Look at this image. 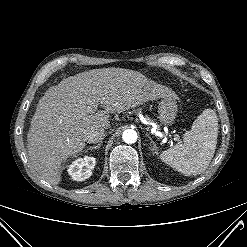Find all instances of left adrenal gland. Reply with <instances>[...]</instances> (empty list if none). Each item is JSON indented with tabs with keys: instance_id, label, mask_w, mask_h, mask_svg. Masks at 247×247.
I'll return each instance as SVG.
<instances>
[{
	"instance_id": "left-adrenal-gland-1",
	"label": "left adrenal gland",
	"mask_w": 247,
	"mask_h": 247,
	"mask_svg": "<svg viewBox=\"0 0 247 247\" xmlns=\"http://www.w3.org/2000/svg\"><path fill=\"white\" fill-rule=\"evenodd\" d=\"M146 135L148 136L149 140L151 141V144L153 145L152 147H150V149L152 151L155 150V153L158 154V150H157L156 144L154 143V141L152 140V138L149 136V134H146Z\"/></svg>"
}]
</instances>
